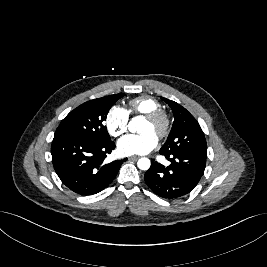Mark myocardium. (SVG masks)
I'll return each mask as SVG.
<instances>
[{
	"instance_id": "1",
	"label": "myocardium",
	"mask_w": 267,
	"mask_h": 267,
	"mask_svg": "<svg viewBox=\"0 0 267 267\" xmlns=\"http://www.w3.org/2000/svg\"><path fill=\"white\" fill-rule=\"evenodd\" d=\"M145 119L157 127L158 131L156 136L159 139H163L169 134L171 118L166 111L162 109L153 111L145 115Z\"/></svg>"
}]
</instances>
